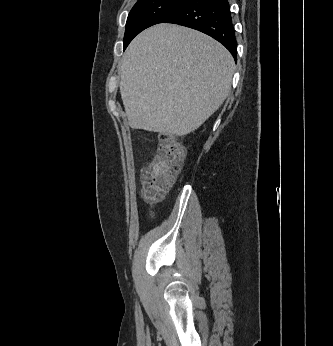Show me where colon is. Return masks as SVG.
Instances as JSON below:
<instances>
[{
  "mask_svg": "<svg viewBox=\"0 0 333 346\" xmlns=\"http://www.w3.org/2000/svg\"><path fill=\"white\" fill-rule=\"evenodd\" d=\"M185 153L178 140L167 134L160 135L157 151L141 173V189L146 202L163 200L180 171Z\"/></svg>",
  "mask_w": 333,
  "mask_h": 346,
  "instance_id": "5ec220e1",
  "label": "colon"
}]
</instances>
